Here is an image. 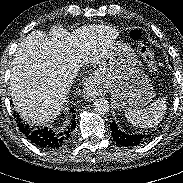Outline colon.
<instances>
[{
    "mask_svg": "<svg viewBox=\"0 0 183 183\" xmlns=\"http://www.w3.org/2000/svg\"><path fill=\"white\" fill-rule=\"evenodd\" d=\"M130 37L133 40L138 41L141 38V32L139 30L134 29L130 32ZM141 51H142L144 57L146 58V60L149 62V64L151 66L155 67L156 61L158 58L157 52L154 49L146 47V46H143Z\"/></svg>",
    "mask_w": 183,
    "mask_h": 183,
    "instance_id": "1",
    "label": "colon"
}]
</instances>
